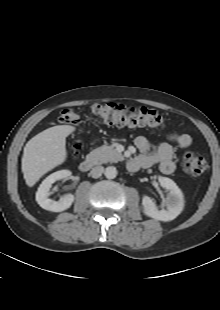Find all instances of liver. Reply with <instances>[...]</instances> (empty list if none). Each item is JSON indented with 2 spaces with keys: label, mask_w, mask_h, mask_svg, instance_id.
<instances>
[{
  "label": "liver",
  "mask_w": 220,
  "mask_h": 310,
  "mask_svg": "<svg viewBox=\"0 0 220 310\" xmlns=\"http://www.w3.org/2000/svg\"><path fill=\"white\" fill-rule=\"evenodd\" d=\"M75 129L70 125L50 127L27 142L23 151L22 172L29 187L34 186L44 174L64 163L67 158L66 137Z\"/></svg>",
  "instance_id": "6515ba94"
}]
</instances>
